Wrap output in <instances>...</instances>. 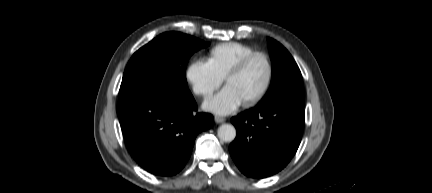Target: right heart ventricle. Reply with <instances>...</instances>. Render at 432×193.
Returning a JSON list of instances; mask_svg holds the SVG:
<instances>
[{"label":"right heart ventricle","instance_id":"obj_1","mask_svg":"<svg viewBox=\"0 0 432 193\" xmlns=\"http://www.w3.org/2000/svg\"><path fill=\"white\" fill-rule=\"evenodd\" d=\"M254 51L252 46L246 44H219L209 51L207 64L220 79H224L236 63Z\"/></svg>","mask_w":432,"mask_h":193}]
</instances>
